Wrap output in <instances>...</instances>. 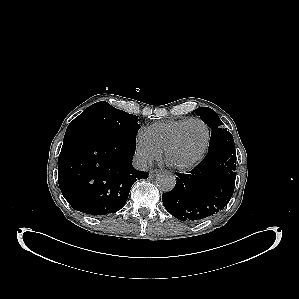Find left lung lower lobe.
<instances>
[{"label":"left lung lower lobe","mask_w":299,"mask_h":299,"mask_svg":"<svg viewBox=\"0 0 299 299\" xmlns=\"http://www.w3.org/2000/svg\"><path fill=\"white\" fill-rule=\"evenodd\" d=\"M234 150V146H221L189 173H178L175 187L162 195L166 210L181 221L201 220L222 210L234 192Z\"/></svg>","instance_id":"obj_1"}]
</instances>
